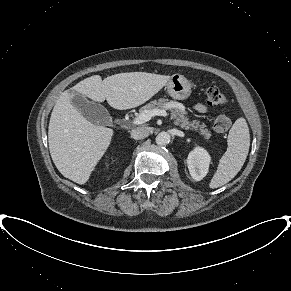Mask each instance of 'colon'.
Instances as JSON below:
<instances>
[{"mask_svg":"<svg viewBox=\"0 0 291 291\" xmlns=\"http://www.w3.org/2000/svg\"><path fill=\"white\" fill-rule=\"evenodd\" d=\"M207 103L210 106L220 107L224 106L227 103V97L216 87H210L206 93ZM230 119L221 115L216 118L214 121V130L217 133H225L230 127Z\"/></svg>","mask_w":291,"mask_h":291,"instance_id":"5ec220e1","label":"colon"}]
</instances>
